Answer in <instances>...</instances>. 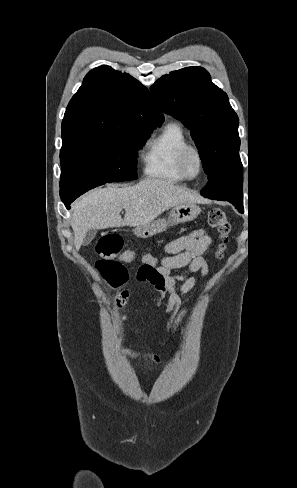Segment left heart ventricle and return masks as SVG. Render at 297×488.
Segmentation results:
<instances>
[{"instance_id":"b2bd125f","label":"left heart ventricle","mask_w":297,"mask_h":488,"mask_svg":"<svg viewBox=\"0 0 297 488\" xmlns=\"http://www.w3.org/2000/svg\"><path fill=\"white\" fill-rule=\"evenodd\" d=\"M187 168L191 175H195L199 169V162L194 154H191L187 160Z\"/></svg>"}]
</instances>
